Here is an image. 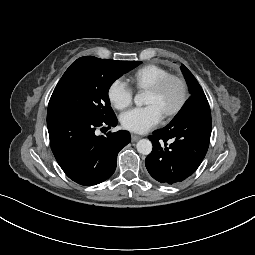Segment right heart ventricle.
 <instances>
[{
    "mask_svg": "<svg viewBox=\"0 0 255 255\" xmlns=\"http://www.w3.org/2000/svg\"><path fill=\"white\" fill-rule=\"evenodd\" d=\"M166 68L157 64H147L138 68L132 75V81L136 88L147 90L163 77L169 75Z\"/></svg>",
    "mask_w": 255,
    "mask_h": 255,
    "instance_id": "1",
    "label": "right heart ventricle"
}]
</instances>
